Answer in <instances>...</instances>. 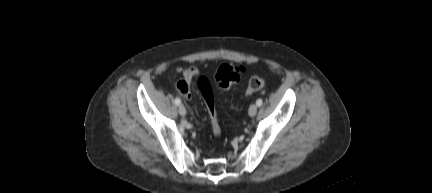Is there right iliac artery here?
<instances>
[{
  "mask_svg": "<svg viewBox=\"0 0 432 193\" xmlns=\"http://www.w3.org/2000/svg\"><path fill=\"white\" fill-rule=\"evenodd\" d=\"M175 104H176V105H180V104H181V100H180L179 98H176V99H175Z\"/></svg>",
  "mask_w": 432,
  "mask_h": 193,
  "instance_id": "82829eb1",
  "label": "right iliac artery"
}]
</instances>
